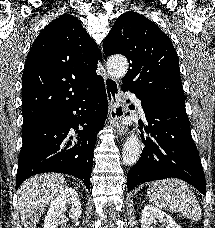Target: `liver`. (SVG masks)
<instances>
[{
	"label": "liver",
	"instance_id": "1",
	"mask_svg": "<svg viewBox=\"0 0 215 228\" xmlns=\"http://www.w3.org/2000/svg\"><path fill=\"white\" fill-rule=\"evenodd\" d=\"M66 186L61 174H38L23 182L18 194V206L24 228H36L45 208Z\"/></svg>",
	"mask_w": 215,
	"mask_h": 228
}]
</instances>
